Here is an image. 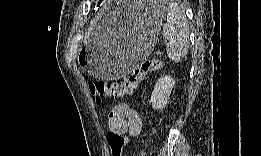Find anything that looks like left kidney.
<instances>
[{"instance_id": "left-kidney-1", "label": "left kidney", "mask_w": 261, "mask_h": 156, "mask_svg": "<svg viewBox=\"0 0 261 156\" xmlns=\"http://www.w3.org/2000/svg\"><path fill=\"white\" fill-rule=\"evenodd\" d=\"M174 85L175 80L169 75L158 79L154 86L150 100L153 109L161 110L167 105Z\"/></svg>"}]
</instances>
